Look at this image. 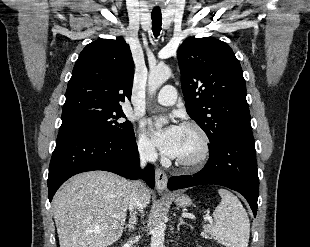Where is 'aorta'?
<instances>
[{"label": "aorta", "mask_w": 310, "mask_h": 247, "mask_svg": "<svg viewBox=\"0 0 310 247\" xmlns=\"http://www.w3.org/2000/svg\"><path fill=\"white\" fill-rule=\"evenodd\" d=\"M171 76V69L168 66H157L152 69L148 77V91L149 94H154L159 87ZM162 121L156 122L155 126L160 128ZM166 224L163 221H158L152 230L151 247H163Z\"/></svg>", "instance_id": "aorta-1"}]
</instances>
